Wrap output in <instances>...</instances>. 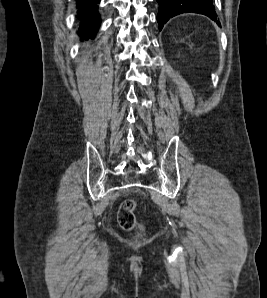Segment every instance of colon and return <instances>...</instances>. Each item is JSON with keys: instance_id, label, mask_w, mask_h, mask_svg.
<instances>
[{"instance_id": "5ec220e1", "label": "colon", "mask_w": 267, "mask_h": 298, "mask_svg": "<svg viewBox=\"0 0 267 298\" xmlns=\"http://www.w3.org/2000/svg\"><path fill=\"white\" fill-rule=\"evenodd\" d=\"M136 206V201L133 199L124 201L120 206L117 218L118 223L122 229L131 231L141 228V225L139 224L135 216Z\"/></svg>"}]
</instances>
